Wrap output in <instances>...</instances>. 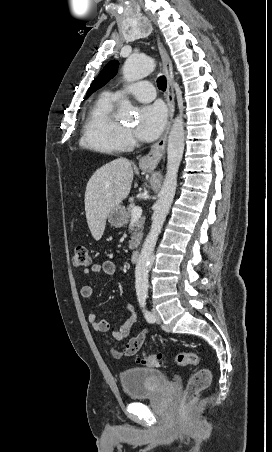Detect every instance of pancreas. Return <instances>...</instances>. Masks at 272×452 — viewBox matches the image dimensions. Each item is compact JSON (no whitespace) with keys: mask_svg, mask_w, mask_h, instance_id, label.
Returning a JSON list of instances; mask_svg holds the SVG:
<instances>
[{"mask_svg":"<svg viewBox=\"0 0 272 452\" xmlns=\"http://www.w3.org/2000/svg\"><path fill=\"white\" fill-rule=\"evenodd\" d=\"M134 203H130L126 209V219H125V224H128V222L130 221V219L132 218V208L134 207ZM144 217L139 218L133 227V232L131 234V239L129 241V248L130 249H136L139 244L140 241L143 237V224H144Z\"/></svg>","mask_w":272,"mask_h":452,"instance_id":"pancreas-1","label":"pancreas"}]
</instances>
